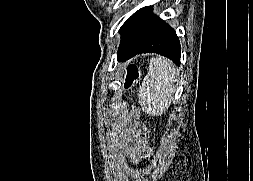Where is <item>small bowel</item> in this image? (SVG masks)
<instances>
[{"instance_id": "1", "label": "small bowel", "mask_w": 253, "mask_h": 181, "mask_svg": "<svg viewBox=\"0 0 253 181\" xmlns=\"http://www.w3.org/2000/svg\"><path fill=\"white\" fill-rule=\"evenodd\" d=\"M134 150L137 151L143 157L147 156L145 147L140 146L137 142L134 145Z\"/></svg>"}]
</instances>
